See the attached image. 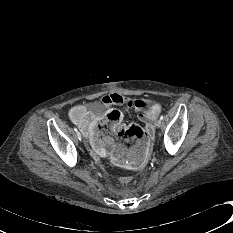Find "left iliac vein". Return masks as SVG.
Wrapping results in <instances>:
<instances>
[{
	"label": "left iliac vein",
	"instance_id": "1",
	"mask_svg": "<svg viewBox=\"0 0 233 233\" xmlns=\"http://www.w3.org/2000/svg\"><path fill=\"white\" fill-rule=\"evenodd\" d=\"M155 126L157 127V128H160L161 126H162V120H157L156 121V123H155Z\"/></svg>",
	"mask_w": 233,
	"mask_h": 233
}]
</instances>
